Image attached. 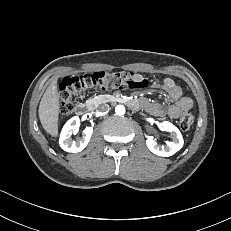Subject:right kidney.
Returning a JSON list of instances; mask_svg holds the SVG:
<instances>
[{"instance_id":"ca27d5eb","label":"right kidney","mask_w":231,"mask_h":231,"mask_svg":"<svg viewBox=\"0 0 231 231\" xmlns=\"http://www.w3.org/2000/svg\"><path fill=\"white\" fill-rule=\"evenodd\" d=\"M80 119L78 116H74L71 119H69L66 124L64 125L61 134H60V147L67 151L72 153H78L81 152L89 143L91 135L93 133L92 127H87L83 133L82 137L76 141L72 139V134L77 131L79 128Z\"/></svg>"}]
</instances>
